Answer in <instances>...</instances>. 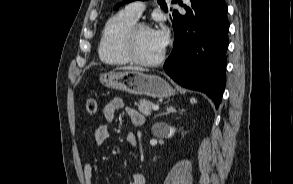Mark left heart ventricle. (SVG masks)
<instances>
[{
    "label": "left heart ventricle",
    "mask_w": 293,
    "mask_h": 184,
    "mask_svg": "<svg viewBox=\"0 0 293 184\" xmlns=\"http://www.w3.org/2000/svg\"><path fill=\"white\" fill-rule=\"evenodd\" d=\"M135 51L141 59L151 60L159 56L162 49L157 44L152 30L141 29L135 37Z\"/></svg>",
    "instance_id": "left-heart-ventricle-1"
}]
</instances>
